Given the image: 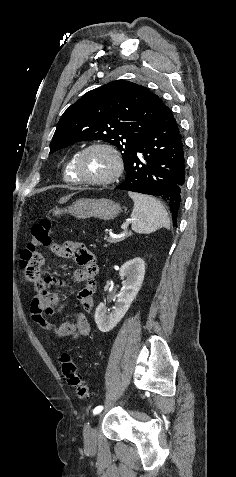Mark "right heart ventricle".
I'll return each mask as SVG.
<instances>
[{
  "label": "right heart ventricle",
  "mask_w": 236,
  "mask_h": 477,
  "mask_svg": "<svg viewBox=\"0 0 236 477\" xmlns=\"http://www.w3.org/2000/svg\"><path fill=\"white\" fill-rule=\"evenodd\" d=\"M78 153L73 154L65 163L63 168V179L66 183L71 185L79 184L78 179L74 173L73 165Z\"/></svg>",
  "instance_id": "1"
}]
</instances>
